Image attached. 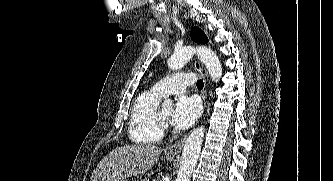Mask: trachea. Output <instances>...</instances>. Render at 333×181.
<instances>
[{
    "instance_id": "trachea-1",
    "label": "trachea",
    "mask_w": 333,
    "mask_h": 181,
    "mask_svg": "<svg viewBox=\"0 0 333 181\" xmlns=\"http://www.w3.org/2000/svg\"><path fill=\"white\" fill-rule=\"evenodd\" d=\"M196 85H197L198 89H202L204 86L203 80H201V79L198 80Z\"/></svg>"
}]
</instances>
